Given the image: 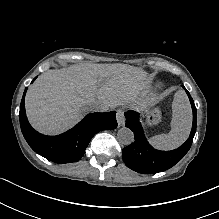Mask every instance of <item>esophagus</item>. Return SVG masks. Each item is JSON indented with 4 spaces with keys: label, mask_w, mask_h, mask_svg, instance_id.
Returning <instances> with one entry per match:
<instances>
[{
    "label": "esophagus",
    "mask_w": 219,
    "mask_h": 219,
    "mask_svg": "<svg viewBox=\"0 0 219 219\" xmlns=\"http://www.w3.org/2000/svg\"><path fill=\"white\" fill-rule=\"evenodd\" d=\"M117 123H118V127L124 126L125 124V117H124V112L122 109H118L117 110Z\"/></svg>",
    "instance_id": "1"
}]
</instances>
